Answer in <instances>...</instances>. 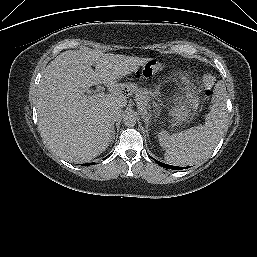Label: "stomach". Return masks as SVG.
Returning <instances> with one entry per match:
<instances>
[{
	"mask_svg": "<svg viewBox=\"0 0 257 257\" xmlns=\"http://www.w3.org/2000/svg\"><path fill=\"white\" fill-rule=\"evenodd\" d=\"M127 88H128L129 90L134 91V89H135V88H137V87H136V86H134V85H129Z\"/></svg>",
	"mask_w": 257,
	"mask_h": 257,
	"instance_id": "0dacf381",
	"label": "stomach"
}]
</instances>
